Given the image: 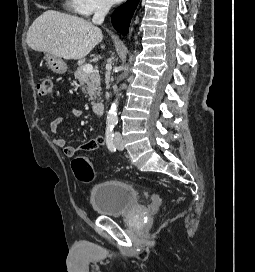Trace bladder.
I'll return each mask as SVG.
<instances>
[{"label": "bladder", "mask_w": 255, "mask_h": 272, "mask_svg": "<svg viewBox=\"0 0 255 272\" xmlns=\"http://www.w3.org/2000/svg\"><path fill=\"white\" fill-rule=\"evenodd\" d=\"M94 211L101 216H120L139 204L137 191L129 184L108 180L95 185L89 193Z\"/></svg>", "instance_id": "obj_1"}]
</instances>
